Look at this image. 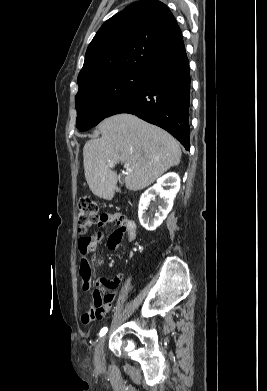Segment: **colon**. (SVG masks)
<instances>
[{"label":"colon","instance_id":"5ec220e1","mask_svg":"<svg viewBox=\"0 0 267 391\" xmlns=\"http://www.w3.org/2000/svg\"><path fill=\"white\" fill-rule=\"evenodd\" d=\"M119 222H123L125 217L119 215ZM102 216L99 213V206L96 201L89 197H82L77 207V222L79 227L80 238L78 247L80 253L88 254L95 247L93 235H86L87 230L93 225L101 222Z\"/></svg>","mask_w":267,"mask_h":391}]
</instances>
